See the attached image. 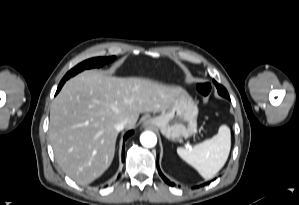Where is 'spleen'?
<instances>
[{"mask_svg": "<svg viewBox=\"0 0 299 205\" xmlns=\"http://www.w3.org/2000/svg\"><path fill=\"white\" fill-rule=\"evenodd\" d=\"M231 148V133L226 125L219 127L211 139L193 148H177L178 155L205 179L213 178L225 165Z\"/></svg>", "mask_w": 299, "mask_h": 205, "instance_id": "spleen-1", "label": "spleen"}]
</instances>
